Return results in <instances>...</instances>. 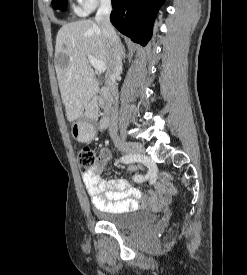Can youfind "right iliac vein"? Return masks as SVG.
<instances>
[{
  "instance_id": "right-iliac-vein-1",
  "label": "right iliac vein",
  "mask_w": 247,
  "mask_h": 275,
  "mask_svg": "<svg viewBox=\"0 0 247 275\" xmlns=\"http://www.w3.org/2000/svg\"><path fill=\"white\" fill-rule=\"evenodd\" d=\"M120 149L127 154H136V155L144 154L143 147L138 143L124 142L121 145Z\"/></svg>"
}]
</instances>
